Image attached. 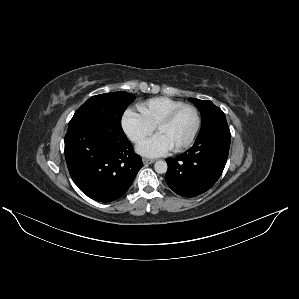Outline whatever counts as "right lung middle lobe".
Wrapping results in <instances>:
<instances>
[{
  "label": "right lung middle lobe",
  "mask_w": 299,
  "mask_h": 299,
  "mask_svg": "<svg viewBox=\"0 0 299 299\" xmlns=\"http://www.w3.org/2000/svg\"><path fill=\"white\" fill-rule=\"evenodd\" d=\"M135 96L127 92H111L92 96L74 114L69 127L76 125L105 126L123 135L121 118Z\"/></svg>",
  "instance_id": "obj_1"
}]
</instances>
